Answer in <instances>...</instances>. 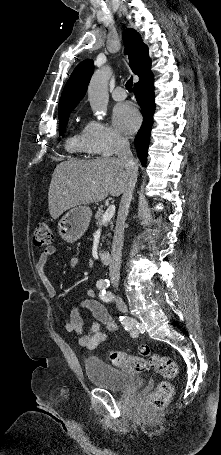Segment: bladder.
<instances>
[{
	"label": "bladder",
	"instance_id": "bladder-1",
	"mask_svg": "<svg viewBox=\"0 0 221 455\" xmlns=\"http://www.w3.org/2000/svg\"><path fill=\"white\" fill-rule=\"evenodd\" d=\"M84 368L91 382L110 391H133L140 389L144 384L141 376L123 372L98 360L86 359Z\"/></svg>",
	"mask_w": 221,
	"mask_h": 455
}]
</instances>
